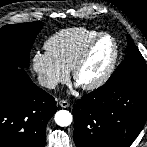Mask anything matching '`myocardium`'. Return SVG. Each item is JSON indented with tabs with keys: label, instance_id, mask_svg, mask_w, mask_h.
<instances>
[{
	"label": "myocardium",
	"instance_id": "myocardium-1",
	"mask_svg": "<svg viewBox=\"0 0 147 147\" xmlns=\"http://www.w3.org/2000/svg\"><path fill=\"white\" fill-rule=\"evenodd\" d=\"M103 38H109L113 43V54H112V58L110 60V63L108 65V67L106 68V70L103 72V74L101 76H99L96 80H94L90 83H87V84H80L78 82L79 72H80L81 68L83 67V65L86 63L87 59L89 58L95 45ZM118 58H119V45H118L116 38L107 32H99L96 36H94L85 45L84 49L82 50V52L80 53V55L76 59L74 65L72 67L73 79L84 90H87V91L96 90V89L102 87L110 79V77L112 76V74L116 68Z\"/></svg>",
	"mask_w": 147,
	"mask_h": 147
}]
</instances>
